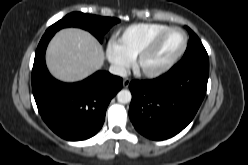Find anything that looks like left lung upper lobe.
<instances>
[{
    "instance_id": "obj_1",
    "label": "left lung upper lobe",
    "mask_w": 248,
    "mask_h": 165,
    "mask_svg": "<svg viewBox=\"0 0 248 165\" xmlns=\"http://www.w3.org/2000/svg\"><path fill=\"white\" fill-rule=\"evenodd\" d=\"M186 29L189 32L190 38H189L188 46H187V49H186L184 56H187V55L194 53L196 51L205 50V48H204L202 42L200 41V39L198 38V36L189 27H186Z\"/></svg>"
}]
</instances>
